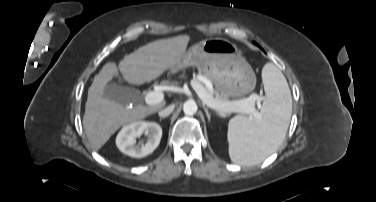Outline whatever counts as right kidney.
Returning a JSON list of instances; mask_svg holds the SVG:
<instances>
[{"label":"right kidney","mask_w":376,"mask_h":202,"mask_svg":"<svg viewBox=\"0 0 376 202\" xmlns=\"http://www.w3.org/2000/svg\"><path fill=\"white\" fill-rule=\"evenodd\" d=\"M142 134L147 136L144 145H137L136 139ZM162 137V128L154 122L136 121L124 126L118 133L116 145L119 150L135 158L145 157L152 153L159 145Z\"/></svg>","instance_id":"obj_1"}]
</instances>
